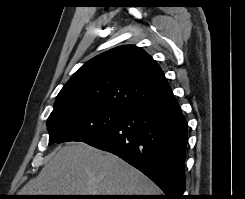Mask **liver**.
<instances>
[{
	"label": "liver",
	"instance_id": "obj_1",
	"mask_svg": "<svg viewBox=\"0 0 245 199\" xmlns=\"http://www.w3.org/2000/svg\"><path fill=\"white\" fill-rule=\"evenodd\" d=\"M19 195H158L159 188L118 156L84 142L63 146Z\"/></svg>",
	"mask_w": 245,
	"mask_h": 199
}]
</instances>
